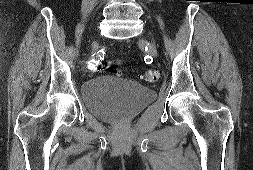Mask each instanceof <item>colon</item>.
Masks as SVG:
<instances>
[{
    "mask_svg": "<svg viewBox=\"0 0 253 170\" xmlns=\"http://www.w3.org/2000/svg\"><path fill=\"white\" fill-rule=\"evenodd\" d=\"M103 69L107 71H113V67L105 66ZM118 74L121 72L119 70L116 71ZM143 79L147 82H156L159 79V72L154 69H149L143 74Z\"/></svg>",
    "mask_w": 253,
    "mask_h": 170,
    "instance_id": "5ec220e1",
    "label": "colon"
}]
</instances>
